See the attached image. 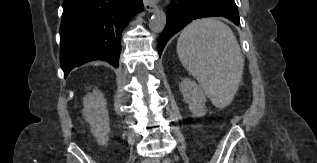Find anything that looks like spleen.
I'll return each mask as SVG.
<instances>
[{
	"label": "spleen",
	"mask_w": 317,
	"mask_h": 163,
	"mask_svg": "<svg viewBox=\"0 0 317 163\" xmlns=\"http://www.w3.org/2000/svg\"><path fill=\"white\" fill-rule=\"evenodd\" d=\"M177 53L214 106L231 103L242 80L244 59L226 24L214 18L193 21L180 34Z\"/></svg>",
	"instance_id": "spleen-1"
}]
</instances>
